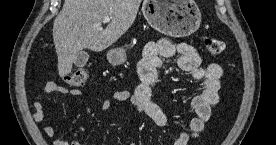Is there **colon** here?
<instances>
[{
	"label": "colon",
	"instance_id": "5ec220e1",
	"mask_svg": "<svg viewBox=\"0 0 276 145\" xmlns=\"http://www.w3.org/2000/svg\"><path fill=\"white\" fill-rule=\"evenodd\" d=\"M204 46L209 54L212 56H218L225 50V44L220 39L211 36L204 35L202 37ZM88 79V72L86 69L78 68L67 74L64 78L65 82L70 86H83Z\"/></svg>",
	"mask_w": 276,
	"mask_h": 145
}]
</instances>
